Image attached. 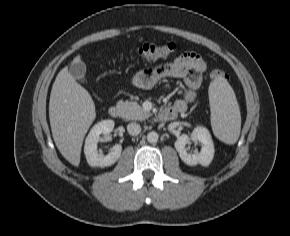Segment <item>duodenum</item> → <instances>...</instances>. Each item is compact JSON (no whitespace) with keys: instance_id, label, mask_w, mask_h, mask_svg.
Returning a JSON list of instances; mask_svg holds the SVG:
<instances>
[{"instance_id":"1","label":"duodenum","mask_w":290,"mask_h":236,"mask_svg":"<svg viewBox=\"0 0 290 236\" xmlns=\"http://www.w3.org/2000/svg\"><path fill=\"white\" fill-rule=\"evenodd\" d=\"M180 112L183 111H180L177 108H166L160 113L159 119L161 121H171L174 120ZM108 114L112 118H120L122 115V110L118 105H112L109 108Z\"/></svg>"}]
</instances>
